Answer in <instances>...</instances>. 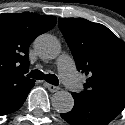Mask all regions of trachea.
I'll return each instance as SVG.
<instances>
[{"instance_id": "trachea-1", "label": "trachea", "mask_w": 125, "mask_h": 125, "mask_svg": "<svg viewBox=\"0 0 125 125\" xmlns=\"http://www.w3.org/2000/svg\"><path fill=\"white\" fill-rule=\"evenodd\" d=\"M27 76L37 80L45 79L46 82L55 86L59 84L58 78L54 74L45 75L42 71L38 69L32 70Z\"/></svg>"}]
</instances>
